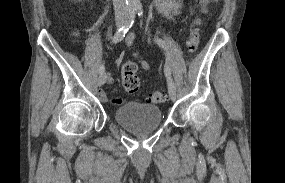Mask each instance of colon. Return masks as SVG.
Returning a JSON list of instances; mask_svg holds the SVG:
<instances>
[{
    "mask_svg": "<svg viewBox=\"0 0 285 183\" xmlns=\"http://www.w3.org/2000/svg\"><path fill=\"white\" fill-rule=\"evenodd\" d=\"M214 0H197V3L202 9ZM200 19L195 18L190 26L189 35L186 40V48L189 53L196 52L199 45V31L198 26ZM137 64L133 61H126L121 67V83L124 90L128 93L134 94L139 90L140 79L137 75ZM168 95L164 91H153L149 94L148 100L151 103H163L167 101Z\"/></svg>",
    "mask_w": 285,
    "mask_h": 183,
    "instance_id": "5ec220e1",
    "label": "colon"
}]
</instances>
